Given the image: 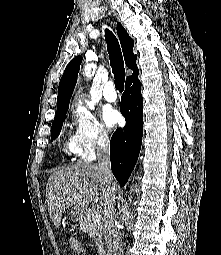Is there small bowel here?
<instances>
[{
  "label": "small bowel",
  "mask_w": 221,
  "mask_h": 255,
  "mask_svg": "<svg viewBox=\"0 0 221 255\" xmlns=\"http://www.w3.org/2000/svg\"><path fill=\"white\" fill-rule=\"evenodd\" d=\"M71 250L77 255H85V250L82 243L75 237H70L68 240Z\"/></svg>",
  "instance_id": "obj_1"
}]
</instances>
